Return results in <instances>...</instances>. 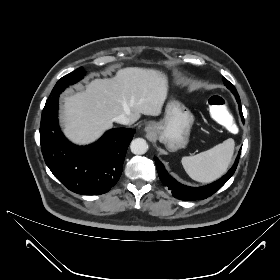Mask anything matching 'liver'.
<instances>
[{"instance_id": "obj_1", "label": "liver", "mask_w": 280, "mask_h": 280, "mask_svg": "<svg viewBox=\"0 0 280 280\" xmlns=\"http://www.w3.org/2000/svg\"><path fill=\"white\" fill-rule=\"evenodd\" d=\"M167 98L165 74L154 69L124 68L110 79H94L86 89L63 98L65 135L74 143L96 141L125 114L131 123L141 114L158 116Z\"/></svg>"}]
</instances>
